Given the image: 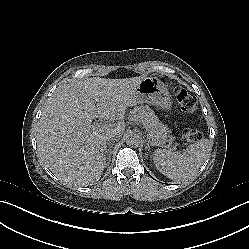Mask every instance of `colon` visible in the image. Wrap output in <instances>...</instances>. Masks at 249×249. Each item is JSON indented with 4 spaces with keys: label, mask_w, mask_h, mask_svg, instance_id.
Segmentation results:
<instances>
[{
    "label": "colon",
    "mask_w": 249,
    "mask_h": 249,
    "mask_svg": "<svg viewBox=\"0 0 249 249\" xmlns=\"http://www.w3.org/2000/svg\"><path fill=\"white\" fill-rule=\"evenodd\" d=\"M175 99L180 109L186 114H192L197 109V100L186 89L181 86H176L173 90ZM200 137V132L196 129H188L185 132V138L189 142L197 141Z\"/></svg>",
    "instance_id": "obj_1"
}]
</instances>
